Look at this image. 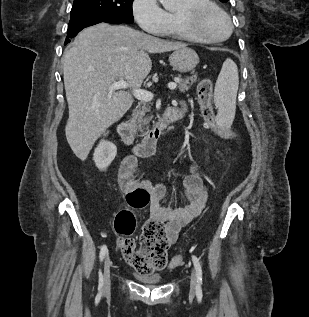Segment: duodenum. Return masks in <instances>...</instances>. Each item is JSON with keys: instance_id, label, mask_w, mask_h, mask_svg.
<instances>
[{"instance_id": "410a0bca", "label": "duodenum", "mask_w": 309, "mask_h": 317, "mask_svg": "<svg viewBox=\"0 0 309 317\" xmlns=\"http://www.w3.org/2000/svg\"><path fill=\"white\" fill-rule=\"evenodd\" d=\"M180 118L176 107H168L157 122L146 133L141 142L133 144V133L126 122H121L117 131L122 142L127 146L133 147V153L140 157H148L155 153L156 145L161 134L168 126Z\"/></svg>"}]
</instances>
